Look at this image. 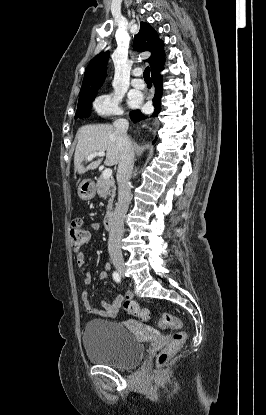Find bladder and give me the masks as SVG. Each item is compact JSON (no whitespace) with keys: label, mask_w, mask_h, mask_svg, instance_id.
I'll return each instance as SVG.
<instances>
[{"label":"bladder","mask_w":266,"mask_h":415,"mask_svg":"<svg viewBox=\"0 0 266 415\" xmlns=\"http://www.w3.org/2000/svg\"><path fill=\"white\" fill-rule=\"evenodd\" d=\"M82 342L91 362L116 369L132 368L140 363L144 355V347L134 334L115 321H88Z\"/></svg>","instance_id":"obj_1"}]
</instances>
